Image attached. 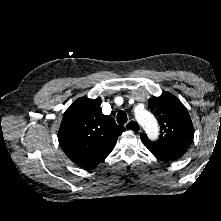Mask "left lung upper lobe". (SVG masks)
I'll return each mask as SVG.
<instances>
[{
  "instance_id": "obj_1",
  "label": "left lung upper lobe",
  "mask_w": 221,
  "mask_h": 221,
  "mask_svg": "<svg viewBox=\"0 0 221 221\" xmlns=\"http://www.w3.org/2000/svg\"><path fill=\"white\" fill-rule=\"evenodd\" d=\"M152 112L160 124V137L157 141H150L146 134L141 135L142 142L148 149L159 151H173L180 147H189L194 128L185 106L178 98L169 92L160 97L148 100Z\"/></svg>"
}]
</instances>
